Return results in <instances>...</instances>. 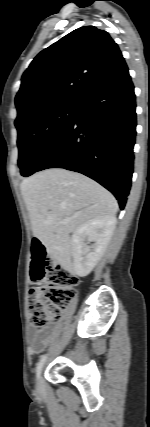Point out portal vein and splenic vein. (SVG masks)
<instances>
[{"label":"portal vein and splenic vein","mask_w":150,"mask_h":427,"mask_svg":"<svg viewBox=\"0 0 150 427\" xmlns=\"http://www.w3.org/2000/svg\"><path fill=\"white\" fill-rule=\"evenodd\" d=\"M45 223H46V224H51V223H52V221H51L50 219H48V220H46V221H45Z\"/></svg>","instance_id":"18ae733b"}]
</instances>
